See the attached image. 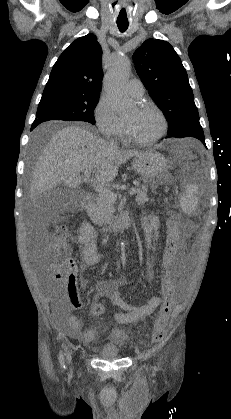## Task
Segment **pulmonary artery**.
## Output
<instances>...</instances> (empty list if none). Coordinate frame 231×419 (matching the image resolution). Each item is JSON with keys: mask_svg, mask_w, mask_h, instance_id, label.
<instances>
[{"mask_svg": "<svg viewBox=\"0 0 231 419\" xmlns=\"http://www.w3.org/2000/svg\"><path fill=\"white\" fill-rule=\"evenodd\" d=\"M144 85L139 79H132L128 83V92L135 98H141L144 94Z\"/></svg>", "mask_w": 231, "mask_h": 419, "instance_id": "e3ab8cb5", "label": "pulmonary artery"}]
</instances>
